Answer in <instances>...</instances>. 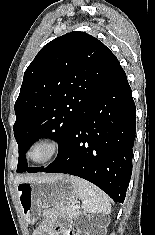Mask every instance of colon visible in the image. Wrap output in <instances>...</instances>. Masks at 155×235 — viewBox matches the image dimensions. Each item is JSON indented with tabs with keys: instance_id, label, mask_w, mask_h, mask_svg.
<instances>
[{
	"instance_id": "5ec220e1",
	"label": "colon",
	"mask_w": 155,
	"mask_h": 235,
	"mask_svg": "<svg viewBox=\"0 0 155 235\" xmlns=\"http://www.w3.org/2000/svg\"><path fill=\"white\" fill-rule=\"evenodd\" d=\"M38 235H46V234H38Z\"/></svg>"
}]
</instances>
